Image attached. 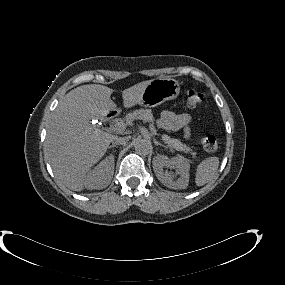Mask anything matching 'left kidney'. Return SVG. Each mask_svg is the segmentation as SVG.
Here are the masks:
<instances>
[{
  "label": "left kidney",
  "instance_id": "obj_1",
  "mask_svg": "<svg viewBox=\"0 0 285 285\" xmlns=\"http://www.w3.org/2000/svg\"><path fill=\"white\" fill-rule=\"evenodd\" d=\"M171 166L176 169L179 178L173 180L171 175L164 172V167ZM153 169L158 180L171 189H185L189 183L190 164L187 158L175 156L169 159L167 156L158 155L153 159Z\"/></svg>",
  "mask_w": 285,
  "mask_h": 285
}]
</instances>
